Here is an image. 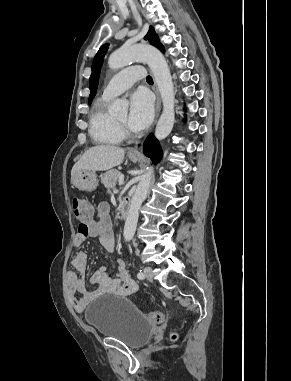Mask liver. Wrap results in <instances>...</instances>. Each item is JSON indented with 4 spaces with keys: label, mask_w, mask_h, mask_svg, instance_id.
Segmentation results:
<instances>
[{
    "label": "liver",
    "mask_w": 291,
    "mask_h": 381,
    "mask_svg": "<svg viewBox=\"0 0 291 381\" xmlns=\"http://www.w3.org/2000/svg\"><path fill=\"white\" fill-rule=\"evenodd\" d=\"M125 150L113 145H98L91 147L74 164L71 177L78 171H106L123 162Z\"/></svg>",
    "instance_id": "6515ba94"
}]
</instances>
